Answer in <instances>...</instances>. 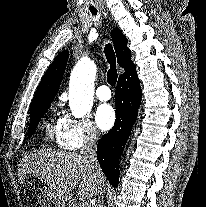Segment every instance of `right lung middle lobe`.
Returning <instances> with one entry per match:
<instances>
[{"instance_id":"dd1d6c3e","label":"right lung middle lobe","mask_w":206,"mask_h":207,"mask_svg":"<svg viewBox=\"0 0 206 207\" xmlns=\"http://www.w3.org/2000/svg\"><path fill=\"white\" fill-rule=\"evenodd\" d=\"M49 107H50V104H45V105H41L39 107H36V108L30 110L31 121H30L29 129H28V136L29 137L34 133V131L40 121V118L45 114V112L47 111V109Z\"/></svg>"}]
</instances>
